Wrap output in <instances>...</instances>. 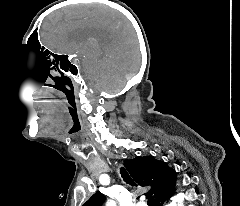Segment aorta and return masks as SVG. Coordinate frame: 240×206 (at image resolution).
Returning a JSON list of instances; mask_svg holds the SVG:
<instances>
[{
	"label": "aorta",
	"instance_id": "1",
	"mask_svg": "<svg viewBox=\"0 0 240 206\" xmlns=\"http://www.w3.org/2000/svg\"><path fill=\"white\" fill-rule=\"evenodd\" d=\"M106 206H116V203L113 200H108Z\"/></svg>",
	"mask_w": 240,
	"mask_h": 206
}]
</instances>
